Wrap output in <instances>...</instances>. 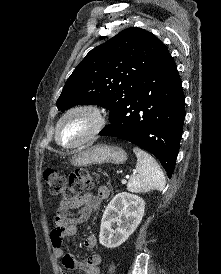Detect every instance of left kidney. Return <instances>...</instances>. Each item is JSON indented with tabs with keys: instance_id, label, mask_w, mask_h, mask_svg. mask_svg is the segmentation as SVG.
Here are the masks:
<instances>
[{
	"instance_id": "1",
	"label": "left kidney",
	"mask_w": 221,
	"mask_h": 274,
	"mask_svg": "<svg viewBox=\"0 0 221 274\" xmlns=\"http://www.w3.org/2000/svg\"><path fill=\"white\" fill-rule=\"evenodd\" d=\"M144 210L145 202L139 196L127 192L115 195L103 213L100 244L112 249L124 243L140 224Z\"/></svg>"
}]
</instances>
